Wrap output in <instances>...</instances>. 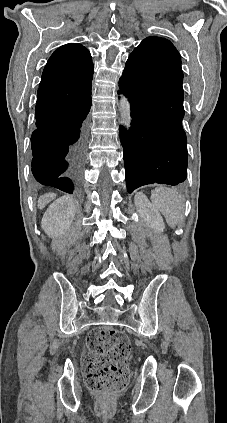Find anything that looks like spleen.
<instances>
[{
	"instance_id": "spleen-1",
	"label": "spleen",
	"mask_w": 227,
	"mask_h": 423,
	"mask_svg": "<svg viewBox=\"0 0 227 423\" xmlns=\"http://www.w3.org/2000/svg\"><path fill=\"white\" fill-rule=\"evenodd\" d=\"M152 206L163 213L168 225L176 227L184 210V200L173 188L159 186L151 192Z\"/></svg>"
}]
</instances>
